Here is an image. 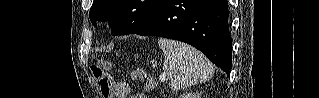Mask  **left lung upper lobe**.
Listing matches in <instances>:
<instances>
[{"label": "left lung upper lobe", "mask_w": 319, "mask_h": 98, "mask_svg": "<svg viewBox=\"0 0 319 98\" xmlns=\"http://www.w3.org/2000/svg\"><path fill=\"white\" fill-rule=\"evenodd\" d=\"M161 0H94L89 18L93 25L96 20L110 19L112 35L134 33L150 19Z\"/></svg>", "instance_id": "obj_1"}]
</instances>
